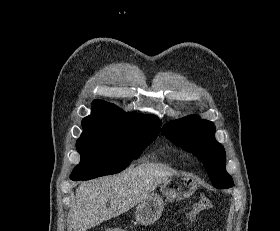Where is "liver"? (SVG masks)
Wrapping results in <instances>:
<instances>
[{"label": "liver", "mask_w": 280, "mask_h": 231, "mask_svg": "<svg viewBox=\"0 0 280 231\" xmlns=\"http://www.w3.org/2000/svg\"><path fill=\"white\" fill-rule=\"evenodd\" d=\"M176 171L164 163H141L127 167L117 175L80 181L69 211V229L87 231L106 219L121 215L146 199L159 183ZM110 201L109 207H106Z\"/></svg>", "instance_id": "obj_1"}]
</instances>
